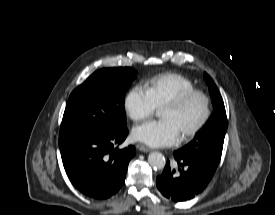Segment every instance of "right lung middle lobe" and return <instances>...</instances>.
Masks as SVG:
<instances>
[{
	"mask_svg": "<svg viewBox=\"0 0 275 215\" xmlns=\"http://www.w3.org/2000/svg\"><path fill=\"white\" fill-rule=\"evenodd\" d=\"M135 76L136 71L129 67L94 72L71 93L60 134H101L126 128L124 96Z\"/></svg>",
	"mask_w": 275,
	"mask_h": 215,
	"instance_id": "1",
	"label": "right lung middle lobe"
}]
</instances>
